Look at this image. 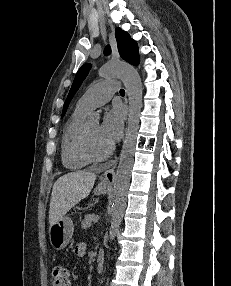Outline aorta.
I'll return each instance as SVG.
<instances>
[{
    "label": "aorta",
    "mask_w": 231,
    "mask_h": 286,
    "mask_svg": "<svg viewBox=\"0 0 231 286\" xmlns=\"http://www.w3.org/2000/svg\"><path fill=\"white\" fill-rule=\"evenodd\" d=\"M101 77H118L125 85L128 95V120L125 138L120 153L119 164L114 183L113 200L111 206L110 240H114L121 225L126 207L127 193L130 184L131 171L134 162L137 134L139 129V117L142 108L143 88L138 71L125 63H106L99 70ZM99 113L89 115L92 121H98Z\"/></svg>",
    "instance_id": "obj_1"
}]
</instances>
